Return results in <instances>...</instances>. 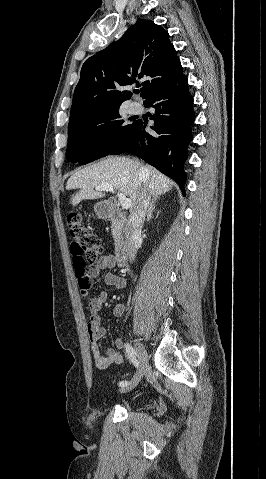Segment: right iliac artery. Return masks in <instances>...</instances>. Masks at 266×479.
<instances>
[{
  "instance_id": "82829eb1",
  "label": "right iliac artery",
  "mask_w": 266,
  "mask_h": 479,
  "mask_svg": "<svg viewBox=\"0 0 266 479\" xmlns=\"http://www.w3.org/2000/svg\"><path fill=\"white\" fill-rule=\"evenodd\" d=\"M125 351L127 353L128 358L133 363V365L138 368L139 362L136 358V352H135L134 348L129 343H126L125 344ZM128 383H129L128 381H121V382H119V386L124 387Z\"/></svg>"
}]
</instances>
